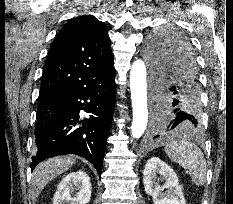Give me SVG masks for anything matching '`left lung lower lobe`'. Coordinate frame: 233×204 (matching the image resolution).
<instances>
[{"mask_svg":"<svg viewBox=\"0 0 233 204\" xmlns=\"http://www.w3.org/2000/svg\"><path fill=\"white\" fill-rule=\"evenodd\" d=\"M170 60L172 64L168 68L153 73L156 108L151 139L174 131L199 133L201 129L196 61L184 54L172 56ZM165 103L169 107L164 112L160 106ZM185 110L194 114H188Z\"/></svg>","mask_w":233,"mask_h":204,"instance_id":"left-lung-lower-lobe-1","label":"left lung lower lobe"}]
</instances>
